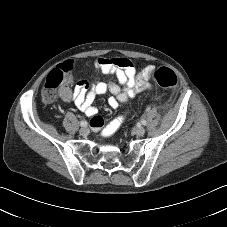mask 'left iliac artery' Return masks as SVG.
Segmentation results:
<instances>
[{"label":"left iliac artery","instance_id":"44dca946","mask_svg":"<svg viewBox=\"0 0 227 227\" xmlns=\"http://www.w3.org/2000/svg\"><path fill=\"white\" fill-rule=\"evenodd\" d=\"M141 123H142L143 125H146V124H147V122H146L145 120H141Z\"/></svg>","mask_w":227,"mask_h":227}]
</instances>
